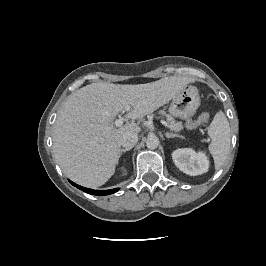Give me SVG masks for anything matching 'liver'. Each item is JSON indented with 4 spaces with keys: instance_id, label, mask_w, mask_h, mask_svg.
<instances>
[{
    "instance_id": "obj_1",
    "label": "liver",
    "mask_w": 266,
    "mask_h": 266,
    "mask_svg": "<svg viewBox=\"0 0 266 266\" xmlns=\"http://www.w3.org/2000/svg\"><path fill=\"white\" fill-rule=\"evenodd\" d=\"M192 79L165 77L155 82L122 85L98 82L70 95L54 126L53 153L64 174L85 187H98L115 173L123 134L139 133L132 122L121 127L114 118L126 106L127 118L144 117L168 103Z\"/></svg>"
}]
</instances>
